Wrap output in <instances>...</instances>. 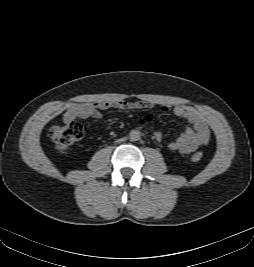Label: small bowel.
Returning a JSON list of instances; mask_svg holds the SVG:
<instances>
[{
	"instance_id": "obj_1",
	"label": "small bowel",
	"mask_w": 254,
	"mask_h": 267,
	"mask_svg": "<svg viewBox=\"0 0 254 267\" xmlns=\"http://www.w3.org/2000/svg\"><path fill=\"white\" fill-rule=\"evenodd\" d=\"M155 104L148 100H138L134 102L126 100L114 101H100L94 103H72L70 104L64 115L63 120L65 123H73L81 118H101L102 112L111 108L121 110H145L151 109ZM160 110L164 113L172 111L173 114L179 118L187 120L192 126L187 127L181 135L169 143V149L178 151L183 154H190L207 144L210 139V129L204 117L194 108L189 106H175L162 105ZM154 116L148 114L139 119L140 125H146L153 121ZM156 140L160 141L162 134L160 131L153 132Z\"/></svg>"
}]
</instances>
